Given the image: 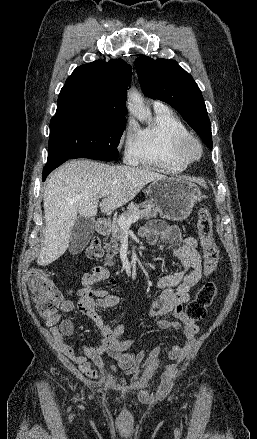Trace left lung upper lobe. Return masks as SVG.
Masks as SVG:
<instances>
[{
  "instance_id": "left-lung-upper-lobe-1",
  "label": "left lung upper lobe",
  "mask_w": 257,
  "mask_h": 439,
  "mask_svg": "<svg viewBox=\"0 0 257 439\" xmlns=\"http://www.w3.org/2000/svg\"><path fill=\"white\" fill-rule=\"evenodd\" d=\"M144 94L174 107L212 148L211 124L200 89L176 61L140 56L135 60Z\"/></svg>"
}]
</instances>
